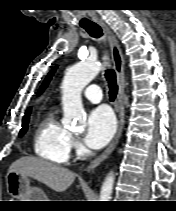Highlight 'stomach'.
Segmentation results:
<instances>
[{
    "instance_id": "0dacf381",
    "label": "stomach",
    "mask_w": 176,
    "mask_h": 211,
    "mask_svg": "<svg viewBox=\"0 0 176 211\" xmlns=\"http://www.w3.org/2000/svg\"><path fill=\"white\" fill-rule=\"evenodd\" d=\"M8 193L19 201H47L45 194L37 187L30 185V179L16 172L6 175Z\"/></svg>"
}]
</instances>
